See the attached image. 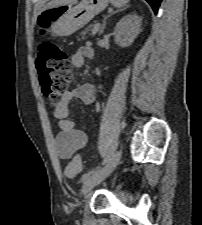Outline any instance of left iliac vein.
I'll use <instances>...</instances> for the list:
<instances>
[{
  "mask_svg": "<svg viewBox=\"0 0 202 225\" xmlns=\"http://www.w3.org/2000/svg\"><path fill=\"white\" fill-rule=\"evenodd\" d=\"M121 154L120 150L116 151L97 175L86 180L82 187V193H88L93 187L106 179L118 165L121 159Z\"/></svg>",
  "mask_w": 202,
  "mask_h": 225,
  "instance_id": "4c4485c4",
  "label": "left iliac vein"
}]
</instances>
